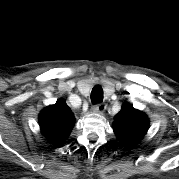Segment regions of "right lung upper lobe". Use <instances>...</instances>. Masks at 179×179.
I'll return each instance as SVG.
<instances>
[{"label":"right lung upper lobe","instance_id":"cb5924a9","mask_svg":"<svg viewBox=\"0 0 179 179\" xmlns=\"http://www.w3.org/2000/svg\"><path fill=\"white\" fill-rule=\"evenodd\" d=\"M41 132L49 141L59 146L65 142L74 127V114L64 99L43 109L39 115Z\"/></svg>","mask_w":179,"mask_h":179}]
</instances>
